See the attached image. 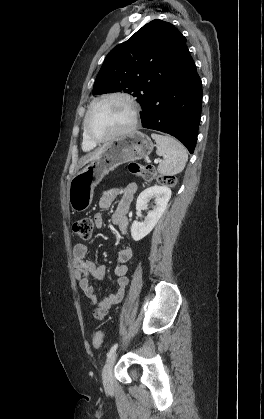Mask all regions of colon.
Returning a JSON list of instances; mask_svg holds the SVG:
<instances>
[{
    "mask_svg": "<svg viewBox=\"0 0 264 419\" xmlns=\"http://www.w3.org/2000/svg\"><path fill=\"white\" fill-rule=\"evenodd\" d=\"M129 170L136 176L142 177L143 179L150 181L157 179L160 184L163 185H174L176 180L171 176L157 175L155 168L151 165H145L137 162H132L129 165ZM74 235L82 240L87 241L90 239L93 231V220L85 217L77 220L73 224ZM103 342V334L101 331H97L92 338V345L95 349H99Z\"/></svg>",
    "mask_w": 264,
    "mask_h": 419,
    "instance_id": "5ec220e1",
    "label": "colon"
}]
</instances>
